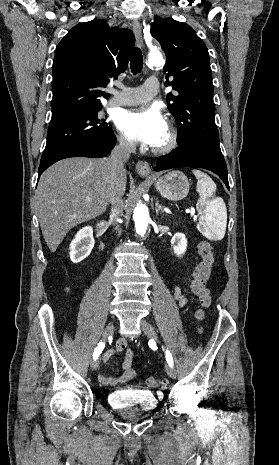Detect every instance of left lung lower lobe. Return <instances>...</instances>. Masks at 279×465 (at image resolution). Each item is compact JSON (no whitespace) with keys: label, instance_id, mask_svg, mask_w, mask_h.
<instances>
[{"label":"left lung lower lobe","instance_id":"left-lung-lower-lobe-1","mask_svg":"<svg viewBox=\"0 0 279 465\" xmlns=\"http://www.w3.org/2000/svg\"><path fill=\"white\" fill-rule=\"evenodd\" d=\"M197 167L216 173L229 189L227 166L223 156L194 145H180L169 154L157 160L155 171L176 168Z\"/></svg>","mask_w":279,"mask_h":465}]
</instances>
